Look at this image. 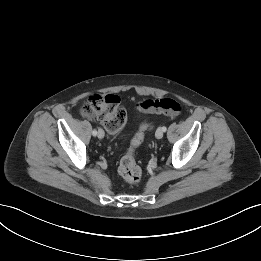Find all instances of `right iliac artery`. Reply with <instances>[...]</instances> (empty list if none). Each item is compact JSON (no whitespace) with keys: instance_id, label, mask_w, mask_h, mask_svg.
Wrapping results in <instances>:
<instances>
[{"instance_id":"right-iliac-artery-1","label":"right iliac artery","mask_w":261,"mask_h":261,"mask_svg":"<svg viewBox=\"0 0 261 261\" xmlns=\"http://www.w3.org/2000/svg\"><path fill=\"white\" fill-rule=\"evenodd\" d=\"M92 135H93V136H96V135H97L96 129H94V130L92 131Z\"/></svg>"}]
</instances>
